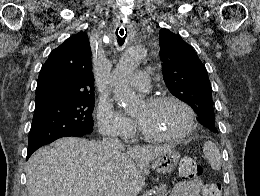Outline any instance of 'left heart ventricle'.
I'll return each instance as SVG.
<instances>
[{
  "instance_id": "obj_1",
  "label": "left heart ventricle",
  "mask_w": 260,
  "mask_h": 196,
  "mask_svg": "<svg viewBox=\"0 0 260 196\" xmlns=\"http://www.w3.org/2000/svg\"><path fill=\"white\" fill-rule=\"evenodd\" d=\"M138 124L145 130L162 135H174L184 131L189 124L188 112L179 104L164 103L150 107L141 106L134 115ZM112 190H90V192H110Z\"/></svg>"
}]
</instances>
